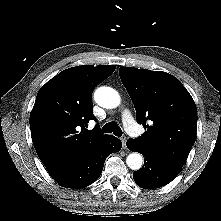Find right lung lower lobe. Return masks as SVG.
<instances>
[{
    "label": "right lung lower lobe",
    "mask_w": 221,
    "mask_h": 221,
    "mask_svg": "<svg viewBox=\"0 0 221 221\" xmlns=\"http://www.w3.org/2000/svg\"><path fill=\"white\" fill-rule=\"evenodd\" d=\"M122 142L111 136L105 143L86 155L64 174L53 178L58 184L67 188H83L92 184L100 176L105 159L111 153L118 152Z\"/></svg>",
    "instance_id": "right-lung-lower-lobe-1"
}]
</instances>
